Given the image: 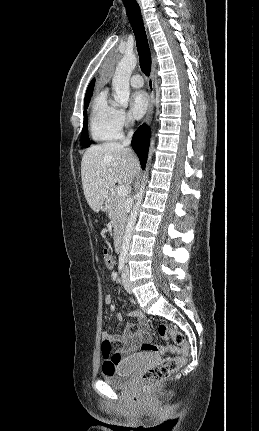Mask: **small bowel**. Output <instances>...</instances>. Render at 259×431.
<instances>
[{"label": "small bowel", "instance_id": "obj_1", "mask_svg": "<svg viewBox=\"0 0 259 431\" xmlns=\"http://www.w3.org/2000/svg\"><path fill=\"white\" fill-rule=\"evenodd\" d=\"M104 302L106 305H112V296L107 295L104 299ZM129 315L130 317L136 318L139 321V327L136 331L133 330L132 325H129V327L121 335H111L106 332L102 334V341H108L110 344L113 342H118L122 346L118 351L112 352L111 350L108 355H103V370L105 365H110L115 369L120 365L134 362L138 357V348L150 337L148 327L144 322L143 314L140 311H132Z\"/></svg>", "mask_w": 259, "mask_h": 431}]
</instances>
